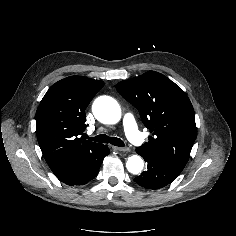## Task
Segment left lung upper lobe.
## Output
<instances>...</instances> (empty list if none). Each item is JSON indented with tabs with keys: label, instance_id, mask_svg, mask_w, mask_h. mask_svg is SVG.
I'll use <instances>...</instances> for the list:
<instances>
[{
	"label": "left lung upper lobe",
	"instance_id": "left-lung-upper-lobe-1",
	"mask_svg": "<svg viewBox=\"0 0 236 236\" xmlns=\"http://www.w3.org/2000/svg\"><path fill=\"white\" fill-rule=\"evenodd\" d=\"M117 91L139 111L153 133L141 149L156 153L183 170L189 160L197 128L188 96L161 73H147L116 85Z\"/></svg>",
	"mask_w": 236,
	"mask_h": 236
}]
</instances>
